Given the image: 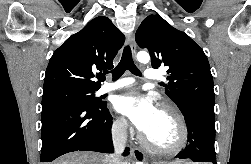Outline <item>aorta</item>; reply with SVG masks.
I'll return each instance as SVG.
<instances>
[{"mask_svg": "<svg viewBox=\"0 0 251 164\" xmlns=\"http://www.w3.org/2000/svg\"><path fill=\"white\" fill-rule=\"evenodd\" d=\"M137 60L139 62H142V63H148L149 60H150V56L147 52L145 51H140L138 54H137Z\"/></svg>", "mask_w": 251, "mask_h": 164, "instance_id": "obj_1", "label": "aorta"}]
</instances>
